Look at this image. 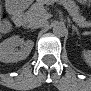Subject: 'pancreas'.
<instances>
[{
  "mask_svg": "<svg viewBox=\"0 0 91 91\" xmlns=\"http://www.w3.org/2000/svg\"><path fill=\"white\" fill-rule=\"evenodd\" d=\"M45 2L38 1L34 3L26 12V20L29 22H36L44 18L46 10L44 8ZM63 6L68 10L73 20L81 27H89L90 23L79 14V7L73 1H62Z\"/></svg>",
  "mask_w": 91,
  "mask_h": 91,
  "instance_id": "pancreas-1",
  "label": "pancreas"
}]
</instances>
